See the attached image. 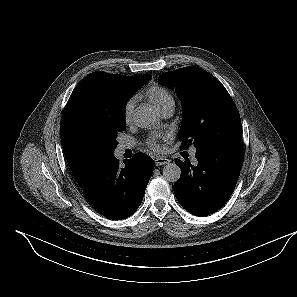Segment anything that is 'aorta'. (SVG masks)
<instances>
[{
    "instance_id": "aorta-1",
    "label": "aorta",
    "mask_w": 297,
    "mask_h": 297,
    "mask_svg": "<svg viewBox=\"0 0 297 297\" xmlns=\"http://www.w3.org/2000/svg\"><path fill=\"white\" fill-rule=\"evenodd\" d=\"M133 119L140 128H151L157 121L156 112L149 106H140L136 108ZM181 176V169L175 163H168L163 168V177L169 182H176Z\"/></svg>"
}]
</instances>
